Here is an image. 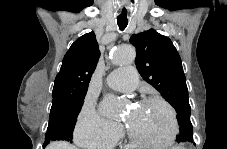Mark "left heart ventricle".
<instances>
[{"mask_svg":"<svg viewBox=\"0 0 227 149\" xmlns=\"http://www.w3.org/2000/svg\"><path fill=\"white\" fill-rule=\"evenodd\" d=\"M124 120L136 134L148 140H165L172 131L170 112L160 103L138 105L126 113Z\"/></svg>","mask_w":227,"mask_h":149,"instance_id":"obj_1","label":"left heart ventricle"}]
</instances>
